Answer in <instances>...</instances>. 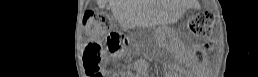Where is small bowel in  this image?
I'll return each instance as SVG.
<instances>
[{
    "label": "small bowel",
    "mask_w": 258,
    "mask_h": 77,
    "mask_svg": "<svg viewBox=\"0 0 258 77\" xmlns=\"http://www.w3.org/2000/svg\"><path fill=\"white\" fill-rule=\"evenodd\" d=\"M192 64H193V68L196 69L197 68L196 64L194 62Z\"/></svg>",
    "instance_id": "small-bowel-1"
}]
</instances>
